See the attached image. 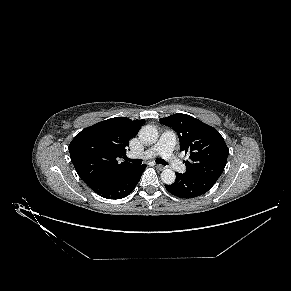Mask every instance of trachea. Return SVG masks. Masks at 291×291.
<instances>
[{
	"label": "trachea",
	"mask_w": 291,
	"mask_h": 291,
	"mask_svg": "<svg viewBox=\"0 0 291 291\" xmlns=\"http://www.w3.org/2000/svg\"><path fill=\"white\" fill-rule=\"evenodd\" d=\"M126 160H127V161H131V162H132L133 164H135V165H140V164L142 163V161H141L140 159H133V160H130V159L126 158ZM156 163H158V164H162V165H166V164H167L166 161L163 160V159H157V160H156Z\"/></svg>",
	"instance_id": "trachea-1"
}]
</instances>
